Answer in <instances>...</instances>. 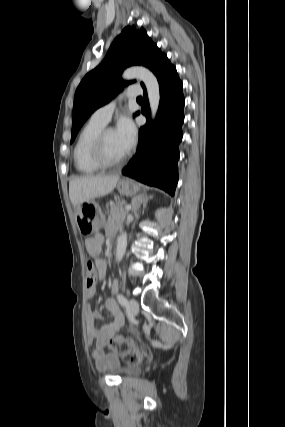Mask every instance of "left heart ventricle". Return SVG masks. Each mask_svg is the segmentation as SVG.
Instances as JSON below:
<instances>
[{
  "mask_svg": "<svg viewBox=\"0 0 285 427\" xmlns=\"http://www.w3.org/2000/svg\"><path fill=\"white\" fill-rule=\"evenodd\" d=\"M105 151L109 160H117L127 153L118 140L114 129H110L106 134Z\"/></svg>",
  "mask_w": 285,
  "mask_h": 427,
  "instance_id": "b2bd125f",
  "label": "left heart ventricle"
}]
</instances>
